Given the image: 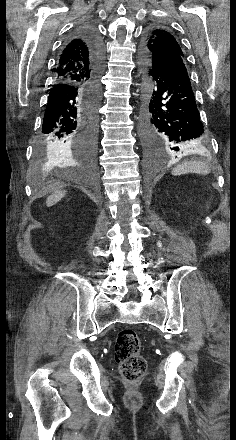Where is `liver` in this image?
I'll use <instances>...</instances> for the list:
<instances>
[{
    "label": "liver",
    "mask_w": 236,
    "mask_h": 440,
    "mask_svg": "<svg viewBox=\"0 0 236 440\" xmlns=\"http://www.w3.org/2000/svg\"><path fill=\"white\" fill-rule=\"evenodd\" d=\"M66 194V191L57 190L47 197L46 205L51 207L58 203Z\"/></svg>",
    "instance_id": "liver-1"
}]
</instances>
